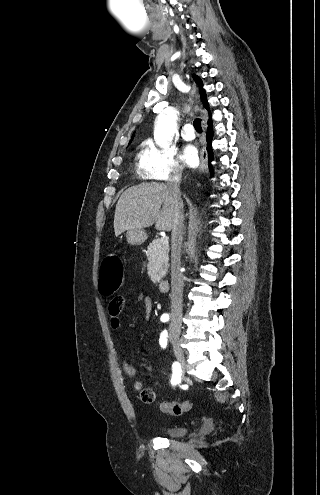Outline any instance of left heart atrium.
Returning a JSON list of instances; mask_svg holds the SVG:
<instances>
[{"label":"left heart atrium","instance_id":"1","mask_svg":"<svg viewBox=\"0 0 320 495\" xmlns=\"http://www.w3.org/2000/svg\"><path fill=\"white\" fill-rule=\"evenodd\" d=\"M181 159L188 166H196L198 163L197 149L192 145L184 147L181 152Z\"/></svg>","mask_w":320,"mask_h":495}]
</instances>
